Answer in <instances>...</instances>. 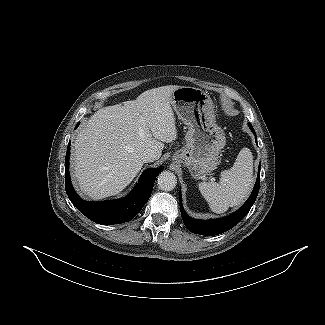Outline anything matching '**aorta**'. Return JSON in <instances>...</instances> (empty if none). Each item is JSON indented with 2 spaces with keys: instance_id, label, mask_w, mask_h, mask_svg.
<instances>
[{
  "instance_id": "obj_1",
  "label": "aorta",
  "mask_w": 325,
  "mask_h": 325,
  "mask_svg": "<svg viewBox=\"0 0 325 325\" xmlns=\"http://www.w3.org/2000/svg\"><path fill=\"white\" fill-rule=\"evenodd\" d=\"M157 184L163 191H171L176 187V176L170 171H163L158 175Z\"/></svg>"
}]
</instances>
